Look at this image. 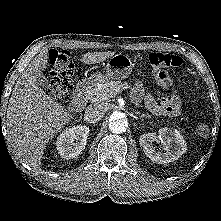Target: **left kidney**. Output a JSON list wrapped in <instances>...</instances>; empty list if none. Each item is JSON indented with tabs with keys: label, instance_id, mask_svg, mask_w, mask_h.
Here are the masks:
<instances>
[{
	"label": "left kidney",
	"instance_id": "obj_1",
	"mask_svg": "<svg viewBox=\"0 0 221 221\" xmlns=\"http://www.w3.org/2000/svg\"><path fill=\"white\" fill-rule=\"evenodd\" d=\"M161 143L165 152L159 151L153 142ZM140 145L146 156L155 163L166 164L179 159L187 150V143L177 129L161 128L159 135L147 133L140 136Z\"/></svg>",
	"mask_w": 221,
	"mask_h": 221
}]
</instances>
